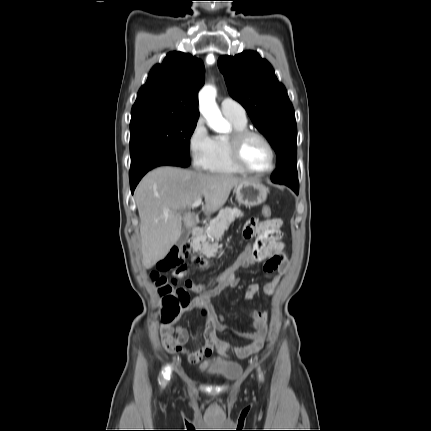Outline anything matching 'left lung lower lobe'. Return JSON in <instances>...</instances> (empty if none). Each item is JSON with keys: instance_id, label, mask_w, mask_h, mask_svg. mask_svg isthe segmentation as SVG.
<instances>
[{"instance_id": "obj_1", "label": "left lung lower lobe", "mask_w": 431, "mask_h": 431, "mask_svg": "<svg viewBox=\"0 0 431 431\" xmlns=\"http://www.w3.org/2000/svg\"><path fill=\"white\" fill-rule=\"evenodd\" d=\"M281 184V183H280ZM290 188H292L297 194H298V184H292V185H288Z\"/></svg>"}]
</instances>
